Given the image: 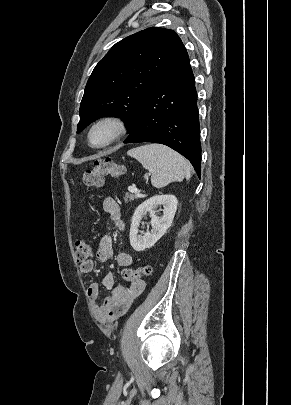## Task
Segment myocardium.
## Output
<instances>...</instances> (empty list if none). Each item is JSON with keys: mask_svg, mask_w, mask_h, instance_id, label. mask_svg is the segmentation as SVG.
I'll return each instance as SVG.
<instances>
[{"mask_svg": "<svg viewBox=\"0 0 291 405\" xmlns=\"http://www.w3.org/2000/svg\"><path fill=\"white\" fill-rule=\"evenodd\" d=\"M100 126H107L110 129V135L105 142L101 144H93L91 140L92 133ZM127 129V122L121 116L113 114L104 115L96 119L89 127L87 132V142L89 146L94 149L107 148L119 141L127 133Z\"/></svg>", "mask_w": 291, "mask_h": 405, "instance_id": "f54148a6", "label": "myocardium"}]
</instances>
